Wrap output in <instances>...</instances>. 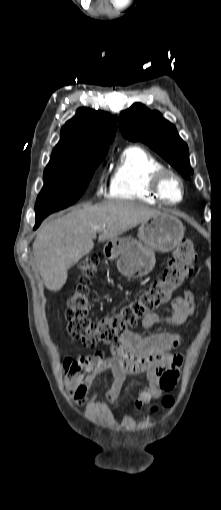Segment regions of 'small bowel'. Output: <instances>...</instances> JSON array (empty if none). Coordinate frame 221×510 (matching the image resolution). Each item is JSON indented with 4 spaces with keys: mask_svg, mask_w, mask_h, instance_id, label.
<instances>
[{
    "mask_svg": "<svg viewBox=\"0 0 221 510\" xmlns=\"http://www.w3.org/2000/svg\"><path fill=\"white\" fill-rule=\"evenodd\" d=\"M171 307L172 312L169 315H146L141 321L142 327L169 328L184 323L196 310L193 293L185 290L171 301ZM181 343L182 336L177 333L142 336L127 331L108 351L68 355L62 362L67 390L75 403L83 406L96 378L110 371L112 381L105 393V401L113 404L128 375L146 374L149 385L139 392L135 401L136 408L141 409L151 400L159 398L162 393L170 392L179 380L183 357L174 350Z\"/></svg>",
    "mask_w": 221,
    "mask_h": 510,
    "instance_id": "small-bowel-1",
    "label": "small bowel"
}]
</instances>
